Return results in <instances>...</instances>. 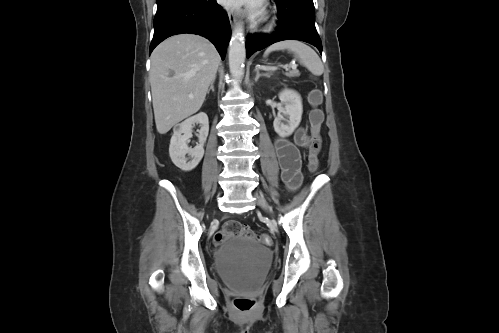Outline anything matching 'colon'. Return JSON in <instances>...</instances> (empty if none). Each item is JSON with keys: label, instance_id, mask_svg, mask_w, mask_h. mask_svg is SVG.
I'll list each match as a JSON object with an SVG mask.
<instances>
[{"label": "colon", "instance_id": "obj_1", "mask_svg": "<svg viewBox=\"0 0 499 333\" xmlns=\"http://www.w3.org/2000/svg\"><path fill=\"white\" fill-rule=\"evenodd\" d=\"M308 99L312 106V110L309 114L311 144L308 154V168L311 172H316L319 168V152L322 143L320 131L324 120L323 111L319 108L322 103L321 91L318 89L312 90ZM232 236H243L260 241L266 245L272 244V239L268 234H255L248 225L241 224L237 221L227 222L224 227L215 234L214 244L219 246ZM255 303L254 298L247 296H236L233 299L234 307L242 313L250 312L254 308Z\"/></svg>", "mask_w": 499, "mask_h": 333}]
</instances>
